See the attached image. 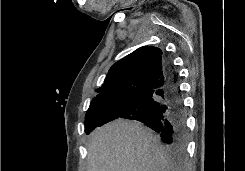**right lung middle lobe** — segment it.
Instances as JSON below:
<instances>
[{
    "label": "right lung middle lobe",
    "mask_w": 245,
    "mask_h": 171,
    "mask_svg": "<svg viewBox=\"0 0 245 171\" xmlns=\"http://www.w3.org/2000/svg\"><path fill=\"white\" fill-rule=\"evenodd\" d=\"M126 100H129V98L117 96L92 102L85 116V132L89 134L102 120L115 112Z\"/></svg>",
    "instance_id": "dd1d6c3e"
}]
</instances>
